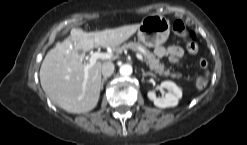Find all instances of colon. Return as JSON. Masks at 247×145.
I'll return each mask as SVG.
<instances>
[{"label":"colon","instance_id":"colon-1","mask_svg":"<svg viewBox=\"0 0 247 145\" xmlns=\"http://www.w3.org/2000/svg\"><path fill=\"white\" fill-rule=\"evenodd\" d=\"M172 30L175 34L181 36L185 41H188L190 43H193L196 40V35L192 30L186 29L183 22L180 20H177L172 25ZM199 66L201 69L204 70V73L202 76H200L196 84L198 88H205L208 84L209 79V72L207 71L208 67V61L204 58L200 59Z\"/></svg>","mask_w":247,"mask_h":145}]
</instances>
